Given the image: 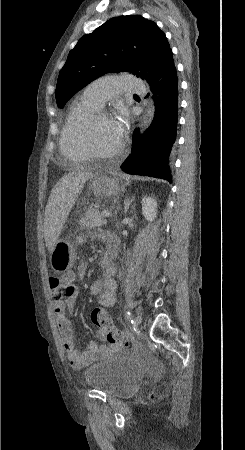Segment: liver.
<instances>
[{"label": "liver", "instance_id": "6515ba94", "mask_svg": "<svg viewBox=\"0 0 245 450\" xmlns=\"http://www.w3.org/2000/svg\"><path fill=\"white\" fill-rule=\"evenodd\" d=\"M95 175L96 169L90 168L70 172L53 187L44 214V237L50 254L85 182Z\"/></svg>", "mask_w": 245, "mask_h": 450}]
</instances>
